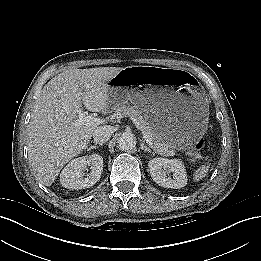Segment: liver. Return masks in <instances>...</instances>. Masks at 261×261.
I'll use <instances>...</instances> for the list:
<instances>
[{
	"mask_svg": "<svg viewBox=\"0 0 261 261\" xmlns=\"http://www.w3.org/2000/svg\"><path fill=\"white\" fill-rule=\"evenodd\" d=\"M123 69H68L44 86L27 127L29 161L41 184L51 186L63 166L87 147L98 126H75L79 111L83 106L107 111L108 82Z\"/></svg>",
	"mask_w": 261,
	"mask_h": 261,
	"instance_id": "liver-1",
	"label": "liver"
}]
</instances>
